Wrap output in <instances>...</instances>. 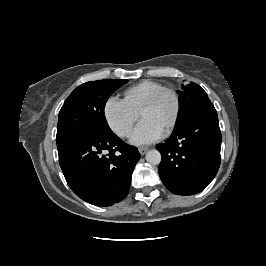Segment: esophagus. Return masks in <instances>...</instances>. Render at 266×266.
Returning a JSON list of instances; mask_svg holds the SVG:
<instances>
[{"label":"esophagus","mask_w":266,"mask_h":266,"mask_svg":"<svg viewBox=\"0 0 266 266\" xmlns=\"http://www.w3.org/2000/svg\"><path fill=\"white\" fill-rule=\"evenodd\" d=\"M138 150L141 155H144L148 151V147H139Z\"/></svg>","instance_id":"obj_1"}]
</instances>
